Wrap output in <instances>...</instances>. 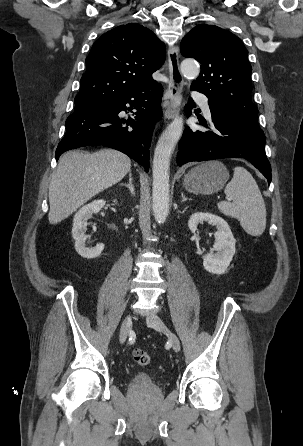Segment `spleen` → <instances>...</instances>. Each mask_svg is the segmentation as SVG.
Returning a JSON list of instances; mask_svg holds the SVG:
<instances>
[{"instance_id":"3e777b00","label":"spleen","mask_w":303,"mask_h":446,"mask_svg":"<svg viewBox=\"0 0 303 446\" xmlns=\"http://www.w3.org/2000/svg\"><path fill=\"white\" fill-rule=\"evenodd\" d=\"M225 194L232 202H219L218 209L237 218L246 233L260 236L266 228V206L253 176L244 167H235Z\"/></svg>"}]
</instances>
